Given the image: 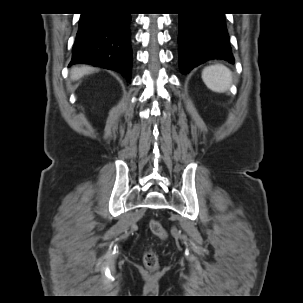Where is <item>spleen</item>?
<instances>
[{
    "label": "spleen",
    "instance_id": "obj_1",
    "mask_svg": "<svg viewBox=\"0 0 303 303\" xmlns=\"http://www.w3.org/2000/svg\"><path fill=\"white\" fill-rule=\"evenodd\" d=\"M202 79L210 90L223 93L232 83V74L227 67L217 64L205 67L202 71Z\"/></svg>",
    "mask_w": 303,
    "mask_h": 303
}]
</instances>
